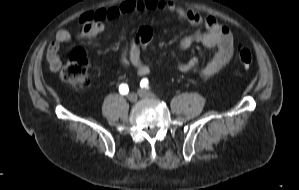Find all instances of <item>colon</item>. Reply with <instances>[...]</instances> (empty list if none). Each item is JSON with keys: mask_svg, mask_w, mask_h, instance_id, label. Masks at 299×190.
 I'll return each mask as SVG.
<instances>
[{"mask_svg": "<svg viewBox=\"0 0 299 190\" xmlns=\"http://www.w3.org/2000/svg\"><path fill=\"white\" fill-rule=\"evenodd\" d=\"M240 65L244 68L252 64V53L248 48H240L237 54ZM60 78L78 90H84L90 85L88 60L85 51L75 48L70 53L68 61L61 67Z\"/></svg>", "mask_w": 299, "mask_h": 190, "instance_id": "5ec220e1", "label": "colon"}]
</instances>
